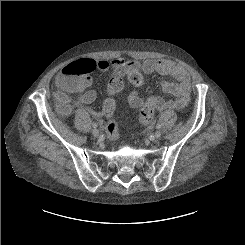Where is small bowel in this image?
Returning <instances> with one entry per match:
<instances>
[{
    "mask_svg": "<svg viewBox=\"0 0 245 245\" xmlns=\"http://www.w3.org/2000/svg\"><path fill=\"white\" fill-rule=\"evenodd\" d=\"M98 70L106 71L112 69L113 77L122 76L124 73H131L133 71H142L145 74L158 72L161 74L173 77L176 82L165 81L162 83V89L166 93L174 96L173 99H162L159 97H149L146 100L140 98L135 92L129 96L130 103L133 107H139L144 103L153 105L155 111H164L169 109H179L188 105L191 92V79L187 71L180 65L171 60L159 58L149 59L142 63L126 61L123 58L117 57L111 61L97 60L95 61ZM63 75V70L56 76V84ZM88 86L91 84V79L88 78ZM87 86V87H88ZM86 87V88H87ZM82 89L83 93L78 99H73L71 102L74 105L90 104L97 98V93L94 90ZM109 89V88H108ZM94 116H99L95 111L90 110ZM103 113H101L102 115Z\"/></svg>",
    "mask_w": 245,
    "mask_h": 245,
    "instance_id": "small-bowel-1",
    "label": "small bowel"
}]
</instances>
